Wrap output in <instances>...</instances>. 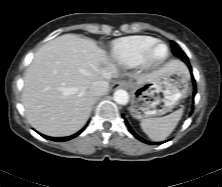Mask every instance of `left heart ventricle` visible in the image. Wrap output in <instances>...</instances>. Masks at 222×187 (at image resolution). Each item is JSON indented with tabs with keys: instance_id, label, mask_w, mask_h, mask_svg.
<instances>
[{
	"instance_id": "obj_1",
	"label": "left heart ventricle",
	"mask_w": 222,
	"mask_h": 187,
	"mask_svg": "<svg viewBox=\"0 0 222 187\" xmlns=\"http://www.w3.org/2000/svg\"><path fill=\"white\" fill-rule=\"evenodd\" d=\"M164 50H165L164 47H159L157 52H158V54H162L164 52Z\"/></svg>"
}]
</instances>
